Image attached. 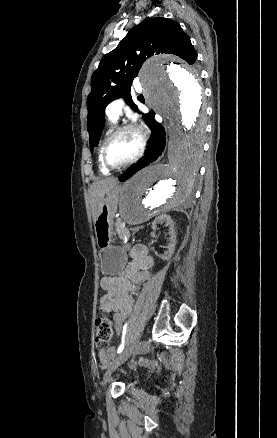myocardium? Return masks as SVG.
<instances>
[{
  "label": "myocardium",
  "instance_id": "myocardium-1",
  "mask_svg": "<svg viewBox=\"0 0 277 438\" xmlns=\"http://www.w3.org/2000/svg\"><path fill=\"white\" fill-rule=\"evenodd\" d=\"M125 132H132L137 136L138 141H139L138 150H137L135 156L132 159H130L129 161H127L126 163H123V164L118 165V166L112 165L108 160V149H109L111 143L113 142V140ZM145 146H146L145 136L136 125L125 124V125L119 126L109 135V137L106 139V141L103 145L102 153H101L102 163L109 170L125 169V168L131 166L132 164H134L135 162H137L142 157Z\"/></svg>",
  "mask_w": 277,
  "mask_h": 438
}]
</instances>
